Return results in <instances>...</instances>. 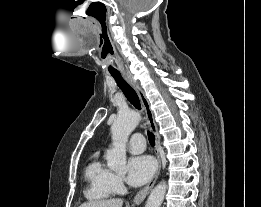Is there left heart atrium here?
Returning <instances> with one entry per match:
<instances>
[{"mask_svg": "<svg viewBox=\"0 0 261 207\" xmlns=\"http://www.w3.org/2000/svg\"><path fill=\"white\" fill-rule=\"evenodd\" d=\"M156 169L155 161L147 155L135 156L128 161L127 180L132 186H141L148 182Z\"/></svg>", "mask_w": 261, "mask_h": 207, "instance_id": "39dd6f15", "label": "left heart atrium"}]
</instances>
